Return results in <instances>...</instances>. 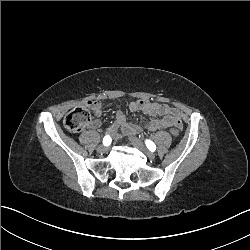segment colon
<instances>
[{
    "label": "colon",
    "instance_id": "1",
    "mask_svg": "<svg viewBox=\"0 0 250 250\" xmlns=\"http://www.w3.org/2000/svg\"><path fill=\"white\" fill-rule=\"evenodd\" d=\"M90 120V113L85 107L75 106L64 116L63 125L69 132L78 133L90 123ZM171 134L176 138L180 133L177 128H172Z\"/></svg>",
    "mask_w": 250,
    "mask_h": 250
}]
</instances>
